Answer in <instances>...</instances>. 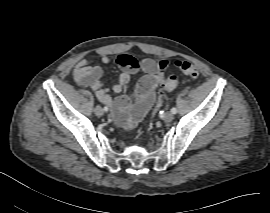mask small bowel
<instances>
[{"label":"small bowel","instance_id":"small-bowel-1","mask_svg":"<svg viewBox=\"0 0 270 213\" xmlns=\"http://www.w3.org/2000/svg\"><path fill=\"white\" fill-rule=\"evenodd\" d=\"M127 55H120L117 58V64L123 71L119 81L113 86V91L117 97H112L109 89L101 82L103 69L100 66H91L85 59L80 60L73 69L74 79L82 86L94 90L98 99L105 105L113 108L114 120L121 128L128 129L133 127L138 120L147 112V110L158 100L157 89L162 82V72L168 67L167 61L157 62L153 59H143L140 62V68L145 75L136 86L134 93L125 96L124 92L128 86L130 76L137 72V64ZM111 58L107 53L100 55V63L108 65ZM125 106L132 107V117L124 116L120 109Z\"/></svg>","mask_w":270,"mask_h":213}]
</instances>
